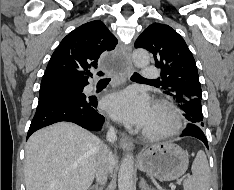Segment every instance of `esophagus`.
<instances>
[{"label": "esophagus", "instance_id": "esophagus-1", "mask_svg": "<svg viewBox=\"0 0 234 190\" xmlns=\"http://www.w3.org/2000/svg\"><path fill=\"white\" fill-rule=\"evenodd\" d=\"M123 50H124V56L128 60V62H129V65L127 66V69L130 72L132 70V65H131V46L130 45L124 46ZM119 144H120V147L124 151H131L134 148V144H133L132 140L129 137H127V136L121 137L120 141H119Z\"/></svg>", "mask_w": 234, "mask_h": 190}]
</instances>
